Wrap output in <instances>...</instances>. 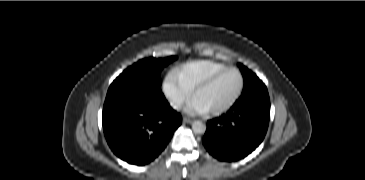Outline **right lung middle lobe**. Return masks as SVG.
Instances as JSON below:
<instances>
[{"label":"right lung middle lobe","mask_w":365,"mask_h":180,"mask_svg":"<svg viewBox=\"0 0 365 180\" xmlns=\"http://www.w3.org/2000/svg\"><path fill=\"white\" fill-rule=\"evenodd\" d=\"M176 56L142 59L124 70L110 85L107 95L135 86H161L160 72Z\"/></svg>","instance_id":"right-lung-middle-lobe-1"}]
</instances>
